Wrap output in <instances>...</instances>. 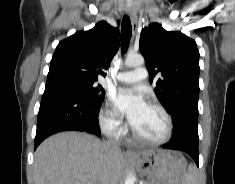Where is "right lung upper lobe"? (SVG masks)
<instances>
[{"mask_svg":"<svg viewBox=\"0 0 235 184\" xmlns=\"http://www.w3.org/2000/svg\"><path fill=\"white\" fill-rule=\"evenodd\" d=\"M119 47V29L104 21L89 31H79L62 40L51 60L46 87L60 85L65 78L95 83L108 69Z\"/></svg>","mask_w":235,"mask_h":184,"instance_id":"1","label":"right lung upper lobe"}]
</instances>
